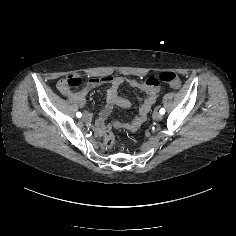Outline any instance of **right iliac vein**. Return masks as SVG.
<instances>
[{
	"label": "right iliac vein",
	"instance_id": "63e3f726",
	"mask_svg": "<svg viewBox=\"0 0 236 236\" xmlns=\"http://www.w3.org/2000/svg\"><path fill=\"white\" fill-rule=\"evenodd\" d=\"M88 118H89V114H87V113L84 114L83 117H82V119H83L84 121L87 120Z\"/></svg>",
	"mask_w": 236,
	"mask_h": 236
}]
</instances>
